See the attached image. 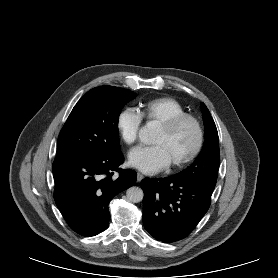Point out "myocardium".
I'll use <instances>...</instances> for the list:
<instances>
[{
    "label": "myocardium",
    "instance_id": "1",
    "mask_svg": "<svg viewBox=\"0 0 278 278\" xmlns=\"http://www.w3.org/2000/svg\"><path fill=\"white\" fill-rule=\"evenodd\" d=\"M187 122L191 123L195 128L196 142H195L193 149L186 156H184L181 159L174 161L170 164L173 169L182 168V167L188 165L200 154V152L203 148V145H204V140H205L204 129L198 118H196L195 116H193L191 114H187V113L176 116V117L162 123L160 126V128L164 132L171 134L174 131H176L181 125H183L184 123H187Z\"/></svg>",
    "mask_w": 278,
    "mask_h": 278
}]
</instances>
